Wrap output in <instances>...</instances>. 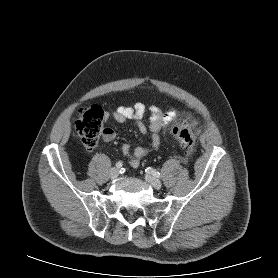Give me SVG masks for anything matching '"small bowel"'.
Listing matches in <instances>:
<instances>
[{
	"label": "small bowel",
	"instance_id": "obj_1",
	"mask_svg": "<svg viewBox=\"0 0 278 278\" xmlns=\"http://www.w3.org/2000/svg\"><path fill=\"white\" fill-rule=\"evenodd\" d=\"M149 111V125L144 123V117ZM112 117L118 122L124 123L132 121L140 133L150 135L151 141L149 146H137L133 151L129 143H124L121 151L124 156L128 157L132 167H138L140 161L148 154L151 148H157L161 142V132L177 117V111L170 109L162 111L160 108L153 106L147 110L143 103L137 102L132 106H119L115 110L106 114V118ZM116 137L115 131L106 127L103 132V139L106 142L114 140Z\"/></svg>",
	"mask_w": 278,
	"mask_h": 278
}]
</instances>
